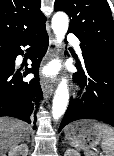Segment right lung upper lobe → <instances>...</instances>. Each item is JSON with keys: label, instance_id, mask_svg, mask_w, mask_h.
Listing matches in <instances>:
<instances>
[{"label": "right lung upper lobe", "instance_id": "cb5924a9", "mask_svg": "<svg viewBox=\"0 0 114 156\" xmlns=\"http://www.w3.org/2000/svg\"><path fill=\"white\" fill-rule=\"evenodd\" d=\"M40 6V0H0V43L43 25Z\"/></svg>", "mask_w": 114, "mask_h": 156}]
</instances>
